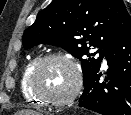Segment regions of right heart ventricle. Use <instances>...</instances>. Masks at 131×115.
<instances>
[{
    "instance_id": "e07e8e85",
    "label": "right heart ventricle",
    "mask_w": 131,
    "mask_h": 115,
    "mask_svg": "<svg viewBox=\"0 0 131 115\" xmlns=\"http://www.w3.org/2000/svg\"><path fill=\"white\" fill-rule=\"evenodd\" d=\"M40 59L39 56H35L31 59H29L26 64L24 65L21 75H20V80H19V86L21 93L25 99V101L33 106L40 107L43 105V102L38 99L30 90L29 86V77L30 73L37 63V61Z\"/></svg>"
}]
</instances>
